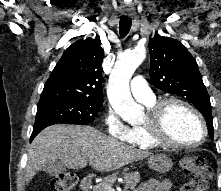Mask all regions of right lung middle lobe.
I'll use <instances>...</instances> for the list:
<instances>
[{
  "label": "right lung middle lobe",
  "instance_id": "1",
  "mask_svg": "<svg viewBox=\"0 0 221 191\" xmlns=\"http://www.w3.org/2000/svg\"><path fill=\"white\" fill-rule=\"evenodd\" d=\"M103 100L70 99L38 103L36 118L45 117L56 123L85 125L92 123Z\"/></svg>",
  "mask_w": 221,
  "mask_h": 191
}]
</instances>
